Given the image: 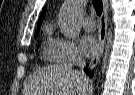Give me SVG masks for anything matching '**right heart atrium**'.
Here are the masks:
<instances>
[{
  "label": "right heart atrium",
  "mask_w": 135,
  "mask_h": 95,
  "mask_svg": "<svg viewBox=\"0 0 135 95\" xmlns=\"http://www.w3.org/2000/svg\"><path fill=\"white\" fill-rule=\"evenodd\" d=\"M52 53L53 60L58 63H65L81 57L75 43L66 38H56L53 40Z\"/></svg>",
  "instance_id": "obj_1"
}]
</instances>
